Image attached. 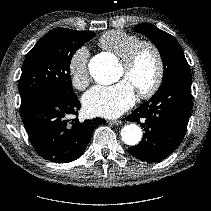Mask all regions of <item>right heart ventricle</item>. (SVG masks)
Here are the masks:
<instances>
[{
	"mask_svg": "<svg viewBox=\"0 0 211 211\" xmlns=\"http://www.w3.org/2000/svg\"><path fill=\"white\" fill-rule=\"evenodd\" d=\"M140 41V38L122 30H111L104 33L98 40V45L120 60Z\"/></svg>",
	"mask_w": 211,
	"mask_h": 211,
	"instance_id": "1",
	"label": "right heart ventricle"
}]
</instances>
